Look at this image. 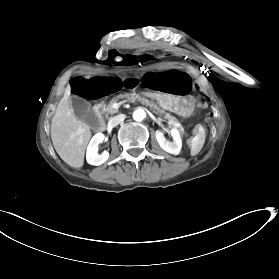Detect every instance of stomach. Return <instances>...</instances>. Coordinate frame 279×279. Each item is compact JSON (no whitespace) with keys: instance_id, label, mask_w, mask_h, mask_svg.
<instances>
[{"instance_id":"stomach-1","label":"stomach","mask_w":279,"mask_h":279,"mask_svg":"<svg viewBox=\"0 0 279 279\" xmlns=\"http://www.w3.org/2000/svg\"><path fill=\"white\" fill-rule=\"evenodd\" d=\"M154 102L157 105H160L167 108L171 109L174 112H178L180 114L189 116L193 112V101L189 97H180V98H175V97H165L164 94L159 93L155 96Z\"/></svg>"}]
</instances>
